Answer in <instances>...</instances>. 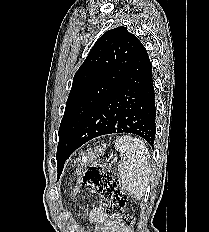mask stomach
I'll return each instance as SVG.
<instances>
[{
    "mask_svg": "<svg viewBox=\"0 0 209 232\" xmlns=\"http://www.w3.org/2000/svg\"><path fill=\"white\" fill-rule=\"evenodd\" d=\"M105 151V145L98 147L94 150H88L81 154V157L77 160L78 162V172L83 170V166L93 165V162L97 157L101 156Z\"/></svg>",
    "mask_w": 209,
    "mask_h": 232,
    "instance_id": "1",
    "label": "stomach"
}]
</instances>
